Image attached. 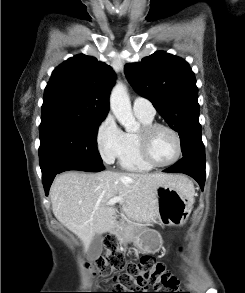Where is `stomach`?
<instances>
[{
  "mask_svg": "<svg viewBox=\"0 0 245 293\" xmlns=\"http://www.w3.org/2000/svg\"><path fill=\"white\" fill-rule=\"evenodd\" d=\"M156 199L157 218L161 225H182L192 210L193 199L172 185L159 186ZM132 242L143 253H155L162 245V237L156 230L144 229L133 235Z\"/></svg>",
  "mask_w": 245,
  "mask_h": 293,
  "instance_id": "0dacf381",
  "label": "stomach"
}]
</instances>
